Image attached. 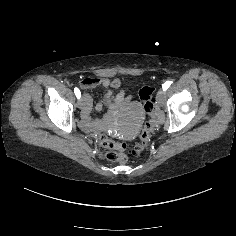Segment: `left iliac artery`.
Masks as SVG:
<instances>
[{
    "label": "left iliac artery",
    "instance_id": "left-iliac-artery-1",
    "mask_svg": "<svg viewBox=\"0 0 236 236\" xmlns=\"http://www.w3.org/2000/svg\"><path fill=\"white\" fill-rule=\"evenodd\" d=\"M171 83H172L171 81H166V82L162 85L163 90H164V91L167 90V89L170 87Z\"/></svg>",
    "mask_w": 236,
    "mask_h": 236
}]
</instances>
